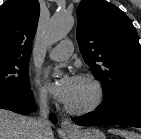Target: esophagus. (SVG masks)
<instances>
[{
    "label": "esophagus",
    "instance_id": "obj_1",
    "mask_svg": "<svg viewBox=\"0 0 141 139\" xmlns=\"http://www.w3.org/2000/svg\"><path fill=\"white\" fill-rule=\"evenodd\" d=\"M61 129L63 131H72L74 129V127L68 120H63L61 122Z\"/></svg>",
    "mask_w": 141,
    "mask_h": 139
}]
</instances>
